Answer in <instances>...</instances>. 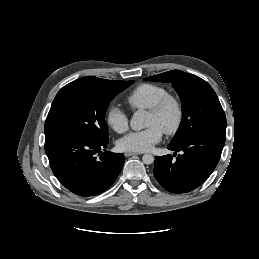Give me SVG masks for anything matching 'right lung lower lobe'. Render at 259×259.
Returning a JSON list of instances; mask_svg holds the SVG:
<instances>
[{"mask_svg": "<svg viewBox=\"0 0 259 259\" xmlns=\"http://www.w3.org/2000/svg\"><path fill=\"white\" fill-rule=\"evenodd\" d=\"M108 143L80 135L53 136L45 138V152L61 184L76 195L88 197L108 189L125 162L123 154L105 150Z\"/></svg>", "mask_w": 259, "mask_h": 259, "instance_id": "obj_1", "label": "right lung lower lobe"}]
</instances>
